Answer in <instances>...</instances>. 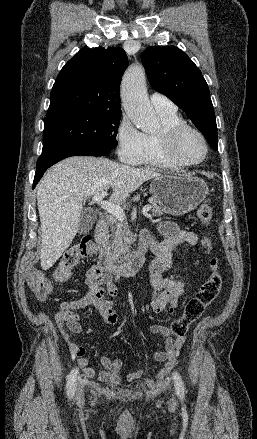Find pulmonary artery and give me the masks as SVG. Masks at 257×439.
Here are the masks:
<instances>
[{
  "instance_id": "1",
  "label": "pulmonary artery",
  "mask_w": 257,
  "mask_h": 439,
  "mask_svg": "<svg viewBox=\"0 0 257 439\" xmlns=\"http://www.w3.org/2000/svg\"><path fill=\"white\" fill-rule=\"evenodd\" d=\"M150 101L157 112H175L177 109L176 105L161 93H152Z\"/></svg>"
}]
</instances>
